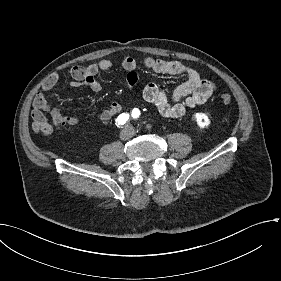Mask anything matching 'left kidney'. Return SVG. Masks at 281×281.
I'll return each mask as SVG.
<instances>
[{"label": "left kidney", "instance_id": "obj_1", "mask_svg": "<svg viewBox=\"0 0 281 281\" xmlns=\"http://www.w3.org/2000/svg\"><path fill=\"white\" fill-rule=\"evenodd\" d=\"M194 122L196 123L198 129L204 130L210 126L211 120L207 114L203 112L194 113Z\"/></svg>", "mask_w": 281, "mask_h": 281}]
</instances>
